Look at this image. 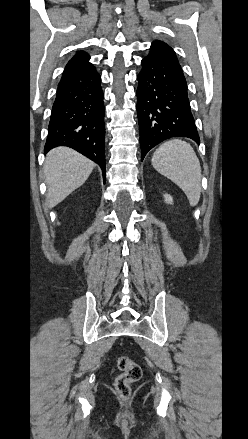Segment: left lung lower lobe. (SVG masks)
Masks as SVG:
<instances>
[{"label":"left lung lower lobe","instance_id":"1","mask_svg":"<svg viewBox=\"0 0 248 439\" xmlns=\"http://www.w3.org/2000/svg\"><path fill=\"white\" fill-rule=\"evenodd\" d=\"M137 76V115L142 159L160 142L188 137L200 143L187 84L174 50L154 41Z\"/></svg>","mask_w":248,"mask_h":439}]
</instances>
